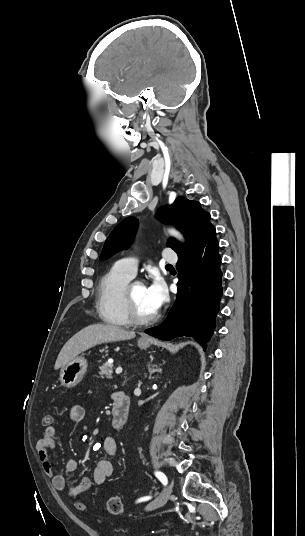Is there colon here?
Segmentation results:
<instances>
[{
    "label": "colon",
    "mask_w": 305,
    "mask_h": 536,
    "mask_svg": "<svg viewBox=\"0 0 305 536\" xmlns=\"http://www.w3.org/2000/svg\"><path fill=\"white\" fill-rule=\"evenodd\" d=\"M43 424L45 426H50L52 424V416L49 414L44 415ZM73 506L75 509L84 512L87 509L86 504L82 500L77 499L74 501ZM107 510L111 514H120L123 511V504L119 497H112L107 502Z\"/></svg>",
    "instance_id": "obj_1"
}]
</instances>
